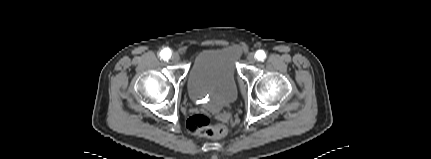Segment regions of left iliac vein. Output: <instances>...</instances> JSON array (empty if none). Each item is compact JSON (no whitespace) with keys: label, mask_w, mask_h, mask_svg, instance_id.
Listing matches in <instances>:
<instances>
[{"label":"left iliac vein","mask_w":431,"mask_h":159,"mask_svg":"<svg viewBox=\"0 0 431 159\" xmlns=\"http://www.w3.org/2000/svg\"><path fill=\"white\" fill-rule=\"evenodd\" d=\"M247 61L249 64H254L256 62V56L254 53H249L247 56Z\"/></svg>","instance_id":"1"}]
</instances>
